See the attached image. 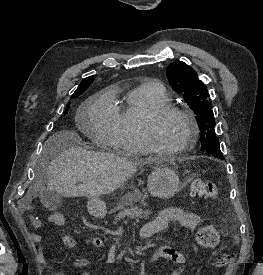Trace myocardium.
I'll list each match as a JSON object with an SVG mask.
<instances>
[{
	"label": "myocardium",
	"mask_w": 263,
	"mask_h": 275,
	"mask_svg": "<svg viewBox=\"0 0 263 275\" xmlns=\"http://www.w3.org/2000/svg\"><path fill=\"white\" fill-rule=\"evenodd\" d=\"M169 115L183 117L189 125V134L183 145L176 149L168 150L160 147L154 139V127L156 123ZM199 133V127L194 115L187 109L171 104H165L149 111L142 122V135L150 152L161 156H176L188 151L195 144Z\"/></svg>",
	"instance_id": "myocardium-1"
}]
</instances>
